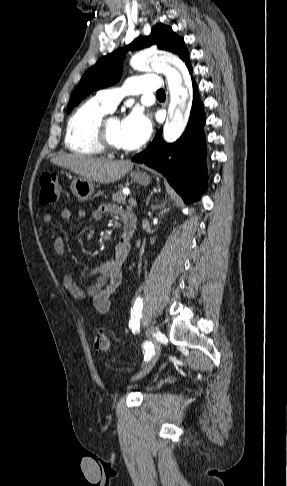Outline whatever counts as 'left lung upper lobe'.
I'll use <instances>...</instances> for the list:
<instances>
[{"label": "left lung upper lobe", "mask_w": 287, "mask_h": 486, "mask_svg": "<svg viewBox=\"0 0 287 486\" xmlns=\"http://www.w3.org/2000/svg\"><path fill=\"white\" fill-rule=\"evenodd\" d=\"M156 43H158L160 50L175 53L183 61L188 59L189 54L183 38L174 33L169 26L157 24L152 28L149 36L135 39L128 47L101 57L95 65L90 67L80 80L68 104V113L91 92L119 81L122 74V61L127 49H142Z\"/></svg>", "instance_id": "1"}]
</instances>
